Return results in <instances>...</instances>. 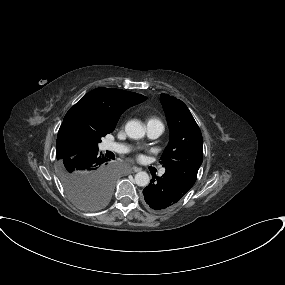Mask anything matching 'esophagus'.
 <instances>
[{
	"instance_id": "esophagus-1",
	"label": "esophagus",
	"mask_w": 285,
	"mask_h": 285,
	"mask_svg": "<svg viewBox=\"0 0 285 285\" xmlns=\"http://www.w3.org/2000/svg\"><path fill=\"white\" fill-rule=\"evenodd\" d=\"M132 169H133L134 172H139V171H141V168H139V167H137V166H134Z\"/></svg>"
}]
</instances>
